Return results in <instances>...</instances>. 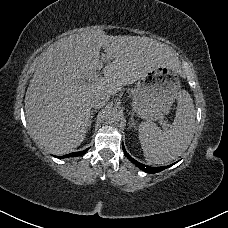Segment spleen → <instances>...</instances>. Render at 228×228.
I'll use <instances>...</instances> for the list:
<instances>
[{
	"label": "spleen",
	"mask_w": 228,
	"mask_h": 228,
	"mask_svg": "<svg viewBox=\"0 0 228 228\" xmlns=\"http://www.w3.org/2000/svg\"><path fill=\"white\" fill-rule=\"evenodd\" d=\"M195 109L191 96L182 90L177 95V109L173 124L161 130L153 122L138 126L143 156L149 164L171 162L189 147L194 136Z\"/></svg>",
	"instance_id": "3e777b00"
}]
</instances>
